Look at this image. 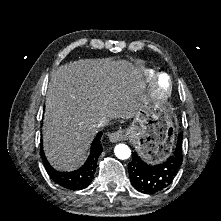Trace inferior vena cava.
Segmentation results:
<instances>
[{
	"label": "inferior vena cava",
	"instance_id": "1",
	"mask_svg": "<svg viewBox=\"0 0 221 221\" xmlns=\"http://www.w3.org/2000/svg\"><path fill=\"white\" fill-rule=\"evenodd\" d=\"M109 122H110L109 119L102 118V119H100V120L98 121V123L96 124V127H97V128H100V127L106 126V125L109 124Z\"/></svg>",
	"mask_w": 221,
	"mask_h": 221
}]
</instances>
